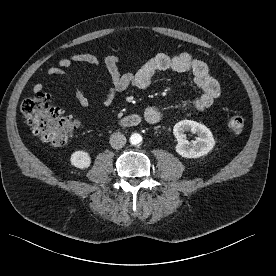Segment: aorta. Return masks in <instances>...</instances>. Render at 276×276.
<instances>
[{"mask_svg":"<svg viewBox=\"0 0 276 276\" xmlns=\"http://www.w3.org/2000/svg\"><path fill=\"white\" fill-rule=\"evenodd\" d=\"M142 142V136L138 133H134L130 137V143L132 145H138Z\"/></svg>","mask_w":276,"mask_h":276,"instance_id":"obj_1","label":"aorta"}]
</instances>
